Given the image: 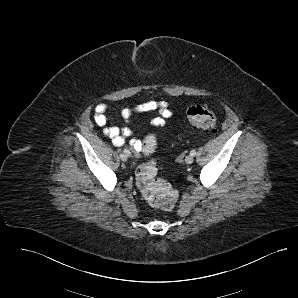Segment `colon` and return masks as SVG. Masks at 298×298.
Masks as SVG:
<instances>
[{
	"instance_id": "5ec220e1",
	"label": "colon",
	"mask_w": 298,
	"mask_h": 298,
	"mask_svg": "<svg viewBox=\"0 0 298 298\" xmlns=\"http://www.w3.org/2000/svg\"><path fill=\"white\" fill-rule=\"evenodd\" d=\"M187 117L189 122L198 128L212 130L216 126V116L206 105L190 107L187 111ZM156 146L155 135L148 133L141 143L140 152L150 154ZM136 183L150 205L164 210H170L174 207L178 193L166 180L157 177L155 162L143 163L136 169Z\"/></svg>"
}]
</instances>
